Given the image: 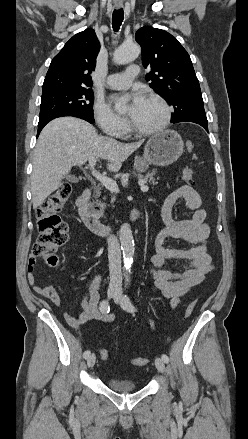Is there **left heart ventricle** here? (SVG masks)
Here are the masks:
<instances>
[{
  "mask_svg": "<svg viewBox=\"0 0 248 439\" xmlns=\"http://www.w3.org/2000/svg\"><path fill=\"white\" fill-rule=\"evenodd\" d=\"M164 118L163 108L155 101L144 99L138 111L131 116L133 123L142 129L159 125Z\"/></svg>",
  "mask_w": 248,
  "mask_h": 439,
  "instance_id": "1",
  "label": "left heart ventricle"
}]
</instances>
